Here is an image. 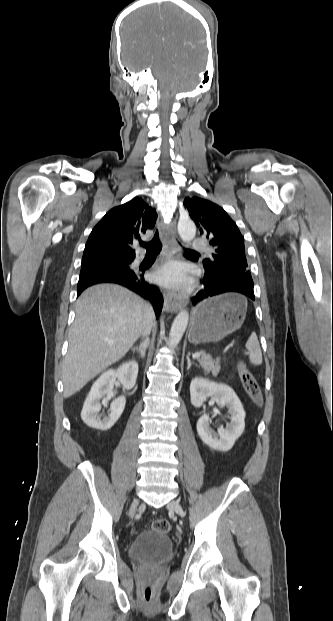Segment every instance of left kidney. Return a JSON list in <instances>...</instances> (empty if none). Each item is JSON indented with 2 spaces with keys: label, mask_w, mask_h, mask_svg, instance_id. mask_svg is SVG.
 Listing matches in <instances>:
<instances>
[{
  "label": "left kidney",
  "mask_w": 333,
  "mask_h": 621,
  "mask_svg": "<svg viewBox=\"0 0 333 621\" xmlns=\"http://www.w3.org/2000/svg\"><path fill=\"white\" fill-rule=\"evenodd\" d=\"M191 403L200 407L211 398L220 406H226L231 422L226 429L219 427L217 434L211 429L209 417L203 414L197 422V432L201 440L211 449L230 450L245 428V411L234 390L226 384H218L203 378H194L190 384ZM219 436V439L218 437Z\"/></svg>",
  "instance_id": "5707ae66"
}]
</instances>
